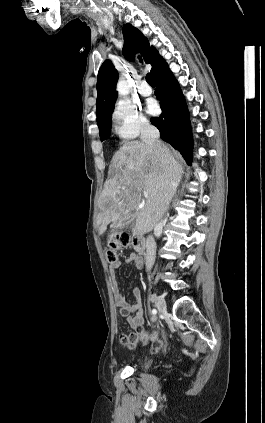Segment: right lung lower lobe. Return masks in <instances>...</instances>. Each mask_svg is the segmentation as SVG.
<instances>
[{
    "label": "right lung lower lobe",
    "mask_w": 265,
    "mask_h": 423,
    "mask_svg": "<svg viewBox=\"0 0 265 423\" xmlns=\"http://www.w3.org/2000/svg\"><path fill=\"white\" fill-rule=\"evenodd\" d=\"M155 94L161 102L162 114L151 119L162 140L177 149L190 164L192 160V135L186 102L174 75L165 63L153 76Z\"/></svg>",
    "instance_id": "1"
}]
</instances>
